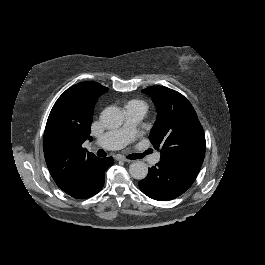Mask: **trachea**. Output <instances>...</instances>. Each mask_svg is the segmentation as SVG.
Returning <instances> with one entry per match:
<instances>
[{
    "label": "trachea",
    "instance_id": "trachea-1",
    "mask_svg": "<svg viewBox=\"0 0 265 265\" xmlns=\"http://www.w3.org/2000/svg\"><path fill=\"white\" fill-rule=\"evenodd\" d=\"M152 152H153V149H148V150L146 151L147 154H150V153H152ZM97 155L100 156V157H104V156H106V152L103 151V150H101V149H99V150L97 151ZM142 157H143L142 154H130V155H127V156H126L127 159H131V160L141 159Z\"/></svg>",
    "mask_w": 265,
    "mask_h": 265
}]
</instances>
